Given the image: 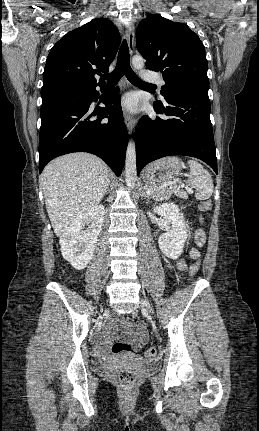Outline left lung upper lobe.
Segmentation results:
<instances>
[{
  "instance_id": "1",
  "label": "left lung upper lobe",
  "mask_w": 259,
  "mask_h": 431,
  "mask_svg": "<svg viewBox=\"0 0 259 431\" xmlns=\"http://www.w3.org/2000/svg\"><path fill=\"white\" fill-rule=\"evenodd\" d=\"M136 46L146 59L147 69L162 73L163 96L192 93L208 98L205 48L186 24L149 15L137 27Z\"/></svg>"
}]
</instances>
